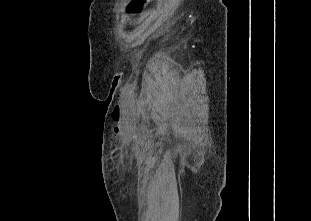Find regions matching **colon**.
<instances>
[{"mask_svg":"<svg viewBox=\"0 0 311 221\" xmlns=\"http://www.w3.org/2000/svg\"><path fill=\"white\" fill-rule=\"evenodd\" d=\"M147 0H128L127 10L130 13L139 14L145 7ZM125 15H128V12H125Z\"/></svg>","mask_w":311,"mask_h":221,"instance_id":"5ec220e1","label":"colon"}]
</instances>
